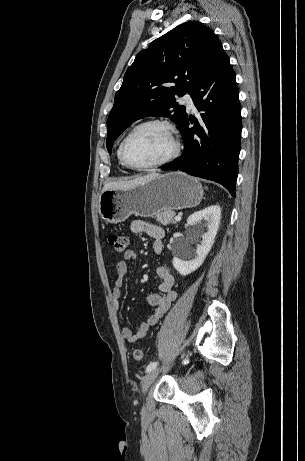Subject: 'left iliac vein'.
Segmentation results:
<instances>
[{"label": "left iliac vein", "instance_id": "left-iliac-vein-1", "mask_svg": "<svg viewBox=\"0 0 305 461\" xmlns=\"http://www.w3.org/2000/svg\"><path fill=\"white\" fill-rule=\"evenodd\" d=\"M159 374V369L155 368L151 371H149L145 377L142 380L141 386H142V392L145 393L150 385L154 382V380L157 378Z\"/></svg>", "mask_w": 305, "mask_h": 461}]
</instances>
